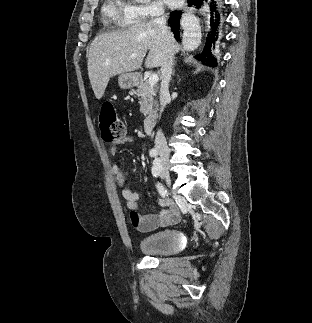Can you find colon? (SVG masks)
Masks as SVG:
<instances>
[{"label":"colon","mask_w":312,"mask_h":323,"mask_svg":"<svg viewBox=\"0 0 312 323\" xmlns=\"http://www.w3.org/2000/svg\"><path fill=\"white\" fill-rule=\"evenodd\" d=\"M99 126L101 135L106 141L118 140L125 135L124 123L117 117L114 107L110 102H105L102 105Z\"/></svg>","instance_id":"5ec220e1"}]
</instances>
